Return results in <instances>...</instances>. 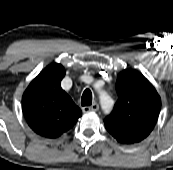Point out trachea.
Listing matches in <instances>:
<instances>
[{
	"label": "trachea",
	"instance_id": "obj_1",
	"mask_svg": "<svg viewBox=\"0 0 173 170\" xmlns=\"http://www.w3.org/2000/svg\"><path fill=\"white\" fill-rule=\"evenodd\" d=\"M92 104V92L90 89H85L81 97L82 106H90Z\"/></svg>",
	"mask_w": 173,
	"mask_h": 170
}]
</instances>
